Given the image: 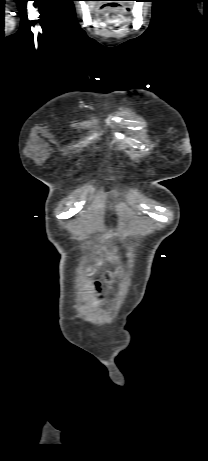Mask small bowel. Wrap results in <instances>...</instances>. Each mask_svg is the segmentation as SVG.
I'll list each match as a JSON object with an SVG mask.
<instances>
[{
  "instance_id": "1",
  "label": "small bowel",
  "mask_w": 208,
  "mask_h": 461,
  "mask_svg": "<svg viewBox=\"0 0 208 461\" xmlns=\"http://www.w3.org/2000/svg\"><path fill=\"white\" fill-rule=\"evenodd\" d=\"M106 303V297H101L99 300H98V305L99 306H102Z\"/></svg>"
}]
</instances>
